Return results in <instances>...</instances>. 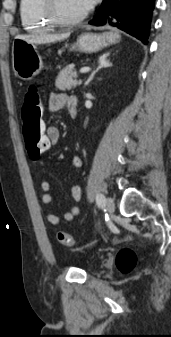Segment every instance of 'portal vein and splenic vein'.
Instances as JSON below:
<instances>
[{"label": "portal vein and splenic vein", "mask_w": 171, "mask_h": 337, "mask_svg": "<svg viewBox=\"0 0 171 337\" xmlns=\"http://www.w3.org/2000/svg\"><path fill=\"white\" fill-rule=\"evenodd\" d=\"M90 71V68L89 67H83L80 69V73H87Z\"/></svg>", "instance_id": "obj_1"}]
</instances>
